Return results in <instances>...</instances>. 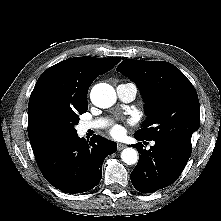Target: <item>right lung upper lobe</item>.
Returning <instances> with one entry per match:
<instances>
[{"mask_svg": "<svg viewBox=\"0 0 221 221\" xmlns=\"http://www.w3.org/2000/svg\"><path fill=\"white\" fill-rule=\"evenodd\" d=\"M120 57H75L48 68L38 79L28 104V136L36 153L56 139L44 124L49 107L79 108L87 103V93L96 77L111 70Z\"/></svg>", "mask_w": 221, "mask_h": 221, "instance_id": "right-lung-upper-lobe-1", "label": "right lung upper lobe"}]
</instances>
